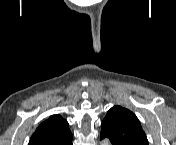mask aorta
<instances>
[{"label": "aorta", "instance_id": "obj_1", "mask_svg": "<svg viewBox=\"0 0 176 145\" xmlns=\"http://www.w3.org/2000/svg\"><path fill=\"white\" fill-rule=\"evenodd\" d=\"M102 144L103 145H108V141H104Z\"/></svg>", "mask_w": 176, "mask_h": 145}]
</instances>
